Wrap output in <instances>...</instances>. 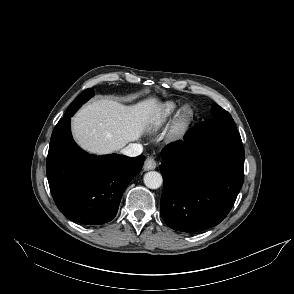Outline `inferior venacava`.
I'll return each instance as SVG.
<instances>
[{
  "instance_id": "obj_1",
  "label": "inferior vena cava",
  "mask_w": 294,
  "mask_h": 294,
  "mask_svg": "<svg viewBox=\"0 0 294 294\" xmlns=\"http://www.w3.org/2000/svg\"><path fill=\"white\" fill-rule=\"evenodd\" d=\"M143 151V147L141 144L138 143H130L125 148L121 150V153L129 156V157H136L140 155Z\"/></svg>"
}]
</instances>
